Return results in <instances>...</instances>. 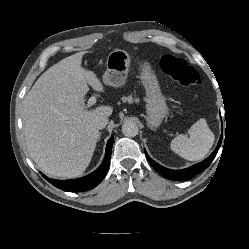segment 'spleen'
<instances>
[{
  "label": "spleen",
  "instance_id": "spleen-1",
  "mask_svg": "<svg viewBox=\"0 0 249 249\" xmlns=\"http://www.w3.org/2000/svg\"><path fill=\"white\" fill-rule=\"evenodd\" d=\"M188 135L180 134L171 141V149L186 160L203 159L214 143V134L204 118L195 122L188 130Z\"/></svg>",
  "mask_w": 249,
  "mask_h": 249
}]
</instances>
